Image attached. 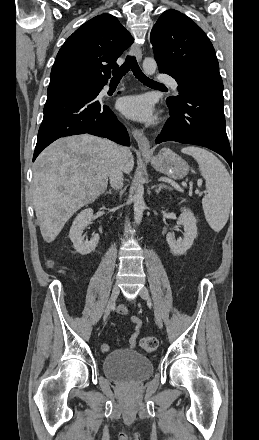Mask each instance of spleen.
Returning <instances> with one entry per match:
<instances>
[{"label": "spleen", "mask_w": 259, "mask_h": 440, "mask_svg": "<svg viewBox=\"0 0 259 440\" xmlns=\"http://www.w3.org/2000/svg\"><path fill=\"white\" fill-rule=\"evenodd\" d=\"M182 153L192 156L206 180L208 194L202 199L205 218L210 227L219 232L226 224L232 205V179L223 163L200 147H185Z\"/></svg>", "instance_id": "spleen-1"}]
</instances>
